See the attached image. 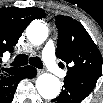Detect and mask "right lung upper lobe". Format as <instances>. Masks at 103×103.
Here are the masks:
<instances>
[{"instance_id":"1","label":"right lung upper lobe","mask_w":103,"mask_h":103,"mask_svg":"<svg viewBox=\"0 0 103 103\" xmlns=\"http://www.w3.org/2000/svg\"><path fill=\"white\" fill-rule=\"evenodd\" d=\"M44 16V10L36 7L0 8V57L4 52H11L13 50V46L16 45L22 32L32 20L39 19ZM19 69L20 68L16 67L1 68L0 65V79L6 76L15 75Z\"/></svg>"}]
</instances>
